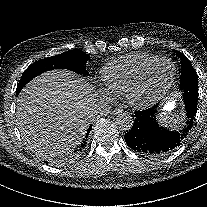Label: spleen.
<instances>
[{
	"label": "spleen",
	"instance_id": "obj_1",
	"mask_svg": "<svg viewBox=\"0 0 207 207\" xmlns=\"http://www.w3.org/2000/svg\"><path fill=\"white\" fill-rule=\"evenodd\" d=\"M167 128L170 132L172 133H177L181 130L182 128V123L179 119L177 118H172L168 121L167 123Z\"/></svg>",
	"mask_w": 207,
	"mask_h": 207
}]
</instances>
